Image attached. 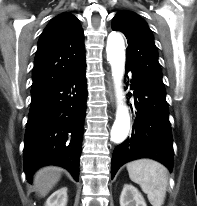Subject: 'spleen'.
<instances>
[{
	"label": "spleen",
	"instance_id": "spleen-1",
	"mask_svg": "<svg viewBox=\"0 0 197 206\" xmlns=\"http://www.w3.org/2000/svg\"><path fill=\"white\" fill-rule=\"evenodd\" d=\"M131 181L140 185L152 206H162L166 197L167 169L152 159H138L127 164Z\"/></svg>",
	"mask_w": 197,
	"mask_h": 206
}]
</instances>
